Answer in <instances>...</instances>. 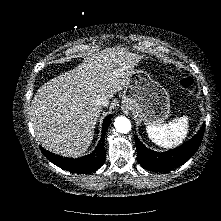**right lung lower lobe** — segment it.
<instances>
[{"instance_id":"98d812e1","label":"right lung lower lobe","mask_w":221,"mask_h":221,"mask_svg":"<svg viewBox=\"0 0 221 221\" xmlns=\"http://www.w3.org/2000/svg\"><path fill=\"white\" fill-rule=\"evenodd\" d=\"M110 121V116H107L104 119L102 126V138L99 141L96 149L87 156L78 159L65 157L63 158L59 155H55L49 151H46L42 147H40V149L49 161H51L52 163L64 170L80 174L93 172L96 169H98L105 161L104 138L107 128L110 125Z\"/></svg>"}]
</instances>
